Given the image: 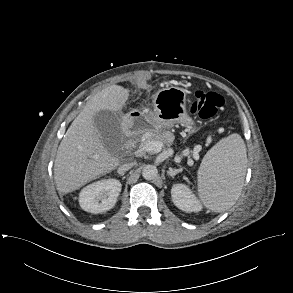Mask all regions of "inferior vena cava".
I'll return each instance as SVG.
<instances>
[{
	"mask_svg": "<svg viewBox=\"0 0 293 293\" xmlns=\"http://www.w3.org/2000/svg\"><path fill=\"white\" fill-rule=\"evenodd\" d=\"M134 165H135V162L124 163L118 168V170L120 172L127 171V170L131 169Z\"/></svg>",
	"mask_w": 293,
	"mask_h": 293,
	"instance_id": "obj_1",
	"label": "inferior vena cava"
}]
</instances>
